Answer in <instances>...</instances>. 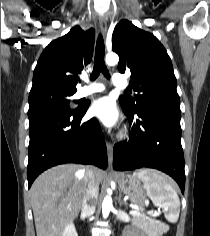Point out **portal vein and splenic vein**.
Returning <instances> with one entry per match:
<instances>
[{
  "label": "portal vein and splenic vein",
  "instance_id": "obj_1",
  "mask_svg": "<svg viewBox=\"0 0 210 236\" xmlns=\"http://www.w3.org/2000/svg\"><path fill=\"white\" fill-rule=\"evenodd\" d=\"M140 212L139 211H137V210H131L130 212H129V214H131V215H138ZM148 214L149 215H155V214H157V212H155V213H153V211H151V212H148Z\"/></svg>",
  "mask_w": 210,
  "mask_h": 236
}]
</instances>
